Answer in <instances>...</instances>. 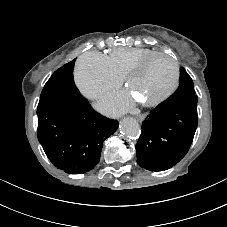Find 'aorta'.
Here are the masks:
<instances>
[{"instance_id":"1","label":"aorta","mask_w":227,"mask_h":227,"mask_svg":"<svg viewBox=\"0 0 227 227\" xmlns=\"http://www.w3.org/2000/svg\"><path fill=\"white\" fill-rule=\"evenodd\" d=\"M120 131L128 138L136 139L140 136L139 123L132 117H125L120 123Z\"/></svg>"}]
</instances>
